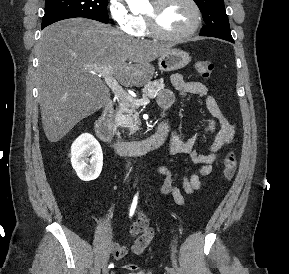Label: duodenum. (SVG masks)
Listing matches in <instances>:
<instances>
[{"label":"duodenum","mask_w":289,"mask_h":274,"mask_svg":"<svg viewBox=\"0 0 289 274\" xmlns=\"http://www.w3.org/2000/svg\"><path fill=\"white\" fill-rule=\"evenodd\" d=\"M114 105L108 100L96 121L95 130L98 138L119 154H141L160 148L166 141L170 122L167 118L159 124L156 132L150 137L138 141H122L113 137Z\"/></svg>","instance_id":"obj_1"}]
</instances>
